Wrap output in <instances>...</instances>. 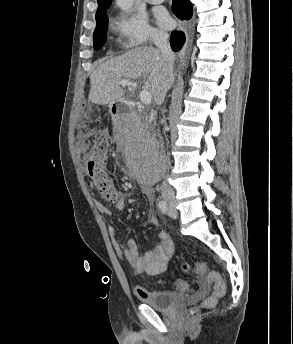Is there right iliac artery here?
Returning a JSON list of instances; mask_svg holds the SVG:
<instances>
[{
	"instance_id": "right-iliac-artery-1",
	"label": "right iliac artery",
	"mask_w": 293,
	"mask_h": 344,
	"mask_svg": "<svg viewBox=\"0 0 293 344\" xmlns=\"http://www.w3.org/2000/svg\"><path fill=\"white\" fill-rule=\"evenodd\" d=\"M158 207L161 210L162 213H166L167 212V204L164 200H160L158 202Z\"/></svg>"
}]
</instances>
